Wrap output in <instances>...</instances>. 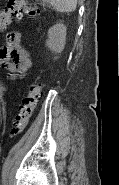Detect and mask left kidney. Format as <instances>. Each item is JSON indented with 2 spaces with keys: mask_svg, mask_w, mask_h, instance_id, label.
Segmentation results:
<instances>
[{
  "mask_svg": "<svg viewBox=\"0 0 119 185\" xmlns=\"http://www.w3.org/2000/svg\"><path fill=\"white\" fill-rule=\"evenodd\" d=\"M66 43V26L59 22L48 30L46 46L55 53H61Z\"/></svg>",
  "mask_w": 119,
  "mask_h": 185,
  "instance_id": "1",
  "label": "left kidney"
}]
</instances>
